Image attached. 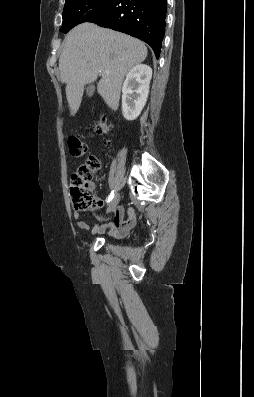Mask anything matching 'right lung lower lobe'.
Listing matches in <instances>:
<instances>
[{
    "label": "right lung lower lobe",
    "mask_w": 254,
    "mask_h": 397,
    "mask_svg": "<svg viewBox=\"0 0 254 397\" xmlns=\"http://www.w3.org/2000/svg\"><path fill=\"white\" fill-rule=\"evenodd\" d=\"M167 0H112L87 22L141 39L160 56L165 30Z\"/></svg>",
    "instance_id": "obj_1"
}]
</instances>
